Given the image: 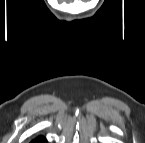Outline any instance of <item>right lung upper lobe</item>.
<instances>
[{"label":"right lung upper lobe","mask_w":145,"mask_h":143,"mask_svg":"<svg viewBox=\"0 0 145 143\" xmlns=\"http://www.w3.org/2000/svg\"><path fill=\"white\" fill-rule=\"evenodd\" d=\"M45 142H46V139L42 136H39L32 141V143H45Z\"/></svg>","instance_id":"1"}]
</instances>
